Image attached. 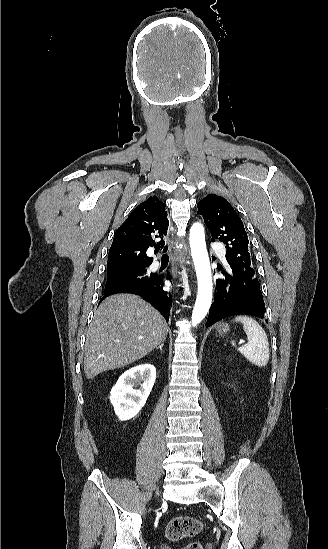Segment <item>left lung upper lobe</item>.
I'll use <instances>...</instances> for the list:
<instances>
[{
  "mask_svg": "<svg viewBox=\"0 0 328 549\" xmlns=\"http://www.w3.org/2000/svg\"><path fill=\"white\" fill-rule=\"evenodd\" d=\"M198 212L211 232V241L226 244V260L243 272L254 275L248 252V238L243 222L223 197L209 194L197 204Z\"/></svg>",
  "mask_w": 328,
  "mask_h": 549,
  "instance_id": "5c2ea615",
  "label": "left lung upper lobe"
}]
</instances>
